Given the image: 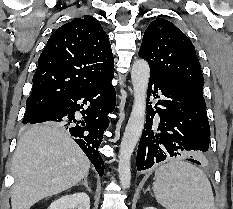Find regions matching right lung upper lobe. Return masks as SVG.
Returning <instances> with one entry per match:
<instances>
[{
  "instance_id": "right-lung-upper-lobe-1",
  "label": "right lung upper lobe",
  "mask_w": 233,
  "mask_h": 209,
  "mask_svg": "<svg viewBox=\"0 0 233 209\" xmlns=\"http://www.w3.org/2000/svg\"><path fill=\"white\" fill-rule=\"evenodd\" d=\"M114 74L107 34L92 16L76 18L49 38L33 76L29 104H50Z\"/></svg>"
}]
</instances>
